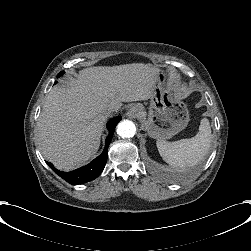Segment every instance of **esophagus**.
<instances>
[{"label": "esophagus", "mask_w": 251, "mask_h": 251, "mask_svg": "<svg viewBox=\"0 0 251 251\" xmlns=\"http://www.w3.org/2000/svg\"><path fill=\"white\" fill-rule=\"evenodd\" d=\"M140 114V107L138 105H133L129 108L127 116L131 119L137 118Z\"/></svg>", "instance_id": "esophagus-1"}]
</instances>
